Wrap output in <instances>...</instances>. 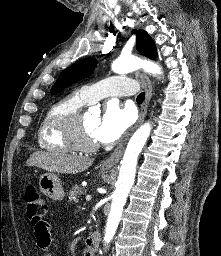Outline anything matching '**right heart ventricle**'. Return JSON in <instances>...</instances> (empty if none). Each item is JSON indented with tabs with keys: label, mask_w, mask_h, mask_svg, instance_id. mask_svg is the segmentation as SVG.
Returning a JSON list of instances; mask_svg holds the SVG:
<instances>
[{
	"label": "right heart ventricle",
	"mask_w": 221,
	"mask_h": 256,
	"mask_svg": "<svg viewBox=\"0 0 221 256\" xmlns=\"http://www.w3.org/2000/svg\"><path fill=\"white\" fill-rule=\"evenodd\" d=\"M89 103L80 91L71 92L47 110L38 130V143L41 148L55 152L74 150L67 136V129L75 115Z\"/></svg>",
	"instance_id": "right-heart-ventricle-1"
}]
</instances>
